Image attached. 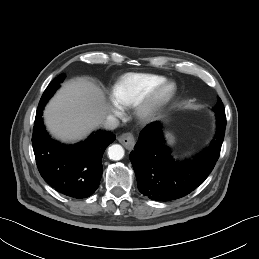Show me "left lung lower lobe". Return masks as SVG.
<instances>
[{
  "label": "left lung lower lobe",
  "mask_w": 259,
  "mask_h": 259,
  "mask_svg": "<svg viewBox=\"0 0 259 259\" xmlns=\"http://www.w3.org/2000/svg\"><path fill=\"white\" fill-rule=\"evenodd\" d=\"M216 135L202 154L192 160L176 162L165 145L160 123L153 122L140 133L130 153L139 191L152 200L170 201L195 190L214 168L224 140L225 112H215Z\"/></svg>",
  "instance_id": "obj_1"
}]
</instances>
